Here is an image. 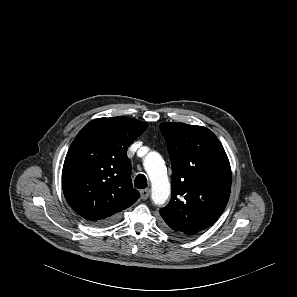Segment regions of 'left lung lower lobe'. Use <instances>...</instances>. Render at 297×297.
I'll use <instances>...</instances> for the list:
<instances>
[{
  "label": "left lung lower lobe",
  "instance_id": "left-lung-lower-lobe-1",
  "mask_svg": "<svg viewBox=\"0 0 297 297\" xmlns=\"http://www.w3.org/2000/svg\"><path fill=\"white\" fill-rule=\"evenodd\" d=\"M163 228H164L165 231L168 232L170 235H172V236H174V237H181V236H179L178 234H175L174 232H172V231L166 229L164 226H163Z\"/></svg>",
  "mask_w": 297,
  "mask_h": 297
}]
</instances>
